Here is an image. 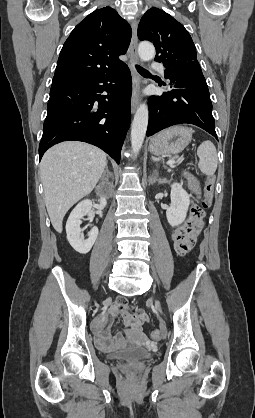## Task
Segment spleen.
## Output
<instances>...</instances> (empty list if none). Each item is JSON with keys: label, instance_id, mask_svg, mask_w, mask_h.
I'll list each match as a JSON object with an SVG mask.
<instances>
[{"label": "spleen", "instance_id": "spleen-1", "mask_svg": "<svg viewBox=\"0 0 255 418\" xmlns=\"http://www.w3.org/2000/svg\"><path fill=\"white\" fill-rule=\"evenodd\" d=\"M197 155L199 157L198 167L200 171L207 176L214 175L218 164L217 151L214 144L209 140L202 142L197 149Z\"/></svg>", "mask_w": 255, "mask_h": 418}]
</instances>
